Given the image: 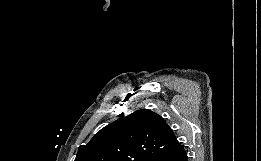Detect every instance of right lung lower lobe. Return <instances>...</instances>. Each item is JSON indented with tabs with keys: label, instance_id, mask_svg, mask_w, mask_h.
Listing matches in <instances>:
<instances>
[{
	"label": "right lung lower lobe",
	"instance_id": "1",
	"mask_svg": "<svg viewBox=\"0 0 261 161\" xmlns=\"http://www.w3.org/2000/svg\"><path fill=\"white\" fill-rule=\"evenodd\" d=\"M153 161H188V157L184 148L182 147L178 151H175L173 153L164 156H160L154 159Z\"/></svg>",
	"mask_w": 261,
	"mask_h": 161
}]
</instances>
